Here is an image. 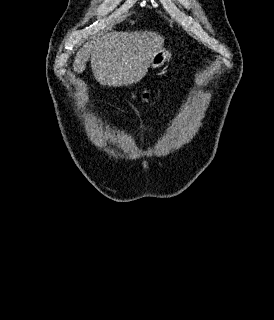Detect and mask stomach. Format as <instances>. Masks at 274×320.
<instances>
[{"mask_svg": "<svg viewBox=\"0 0 274 320\" xmlns=\"http://www.w3.org/2000/svg\"><path fill=\"white\" fill-rule=\"evenodd\" d=\"M171 54L168 52V50H165V48H161L157 54H155L154 58L151 60V68H161L163 66L164 62H167L169 60Z\"/></svg>", "mask_w": 274, "mask_h": 320, "instance_id": "obj_1", "label": "stomach"}]
</instances>
